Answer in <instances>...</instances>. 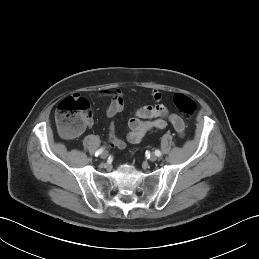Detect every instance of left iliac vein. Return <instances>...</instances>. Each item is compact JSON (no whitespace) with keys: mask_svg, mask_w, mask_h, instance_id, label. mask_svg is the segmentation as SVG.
<instances>
[{"mask_svg":"<svg viewBox=\"0 0 259 259\" xmlns=\"http://www.w3.org/2000/svg\"><path fill=\"white\" fill-rule=\"evenodd\" d=\"M149 160H150L151 162H154V161L157 160V156H156L154 153H152V154L150 155Z\"/></svg>","mask_w":259,"mask_h":259,"instance_id":"obj_1","label":"left iliac vein"}]
</instances>
